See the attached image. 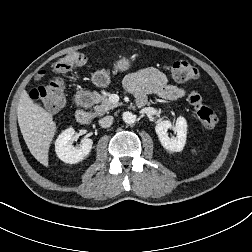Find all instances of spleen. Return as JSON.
I'll list each match as a JSON object with an SVG mask.
<instances>
[{
	"label": "spleen",
	"instance_id": "spleen-1",
	"mask_svg": "<svg viewBox=\"0 0 252 252\" xmlns=\"http://www.w3.org/2000/svg\"><path fill=\"white\" fill-rule=\"evenodd\" d=\"M191 152H192L193 154H194V153H196V149H192V151H191Z\"/></svg>",
	"mask_w": 252,
	"mask_h": 252
}]
</instances>
